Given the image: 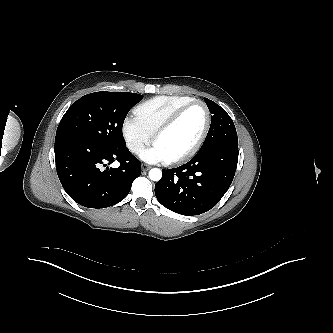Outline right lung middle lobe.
Masks as SVG:
<instances>
[{
  "mask_svg": "<svg viewBox=\"0 0 333 333\" xmlns=\"http://www.w3.org/2000/svg\"><path fill=\"white\" fill-rule=\"evenodd\" d=\"M142 98L128 92L87 94L66 111L55 139L68 137L111 148L125 146L123 122L129 110Z\"/></svg>",
  "mask_w": 333,
  "mask_h": 333,
  "instance_id": "1",
  "label": "right lung middle lobe"
}]
</instances>
